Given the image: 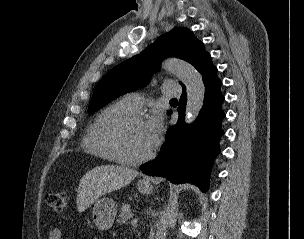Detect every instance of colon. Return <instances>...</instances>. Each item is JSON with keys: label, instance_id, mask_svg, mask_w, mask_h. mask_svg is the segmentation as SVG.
<instances>
[{"label": "colon", "instance_id": "colon-1", "mask_svg": "<svg viewBox=\"0 0 304 239\" xmlns=\"http://www.w3.org/2000/svg\"><path fill=\"white\" fill-rule=\"evenodd\" d=\"M69 196L66 192L50 193L46 197L47 204L55 211L62 212L68 205Z\"/></svg>", "mask_w": 304, "mask_h": 239}]
</instances>
